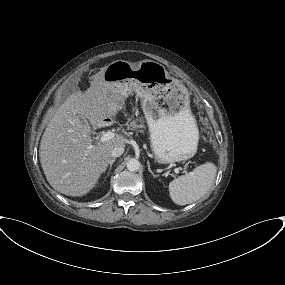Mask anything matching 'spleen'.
<instances>
[{
  "instance_id": "1",
  "label": "spleen",
  "mask_w": 285,
  "mask_h": 285,
  "mask_svg": "<svg viewBox=\"0 0 285 285\" xmlns=\"http://www.w3.org/2000/svg\"><path fill=\"white\" fill-rule=\"evenodd\" d=\"M216 166L207 162L182 175L169 184V194L177 205L191 204L202 198L212 187Z\"/></svg>"
}]
</instances>
